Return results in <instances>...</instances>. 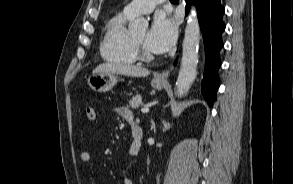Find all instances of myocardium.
Wrapping results in <instances>:
<instances>
[{
    "instance_id": "obj_1",
    "label": "myocardium",
    "mask_w": 293,
    "mask_h": 184,
    "mask_svg": "<svg viewBox=\"0 0 293 184\" xmlns=\"http://www.w3.org/2000/svg\"><path fill=\"white\" fill-rule=\"evenodd\" d=\"M132 43L137 59L144 62H151L155 59L154 55L146 52L144 48L141 46V44L138 41H136L134 37H132Z\"/></svg>"
}]
</instances>
